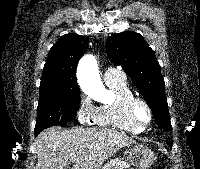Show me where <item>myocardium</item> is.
<instances>
[{
  "label": "myocardium",
  "instance_id": "1",
  "mask_svg": "<svg viewBox=\"0 0 200 169\" xmlns=\"http://www.w3.org/2000/svg\"><path fill=\"white\" fill-rule=\"evenodd\" d=\"M139 106H143L148 112V120L145 123H142L137 117V108ZM126 112L131 124L142 131L149 127L152 123L153 111L150 105L144 99H141L139 97H133L130 100H128L126 104Z\"/></svg>",
  "mask_w": 200,
  "mask_h": 169
}]
</instances>
